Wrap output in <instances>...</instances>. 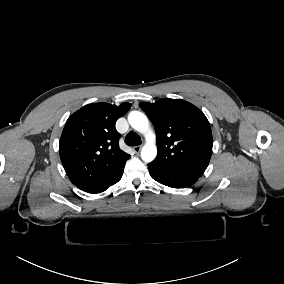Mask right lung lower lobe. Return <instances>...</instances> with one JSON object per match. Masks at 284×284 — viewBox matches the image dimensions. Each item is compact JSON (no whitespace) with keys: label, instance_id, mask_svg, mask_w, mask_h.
<instances>
[{"label":"right lung lower lobe","instance_id":"obj_1","mask_svg":"<svg viewBox=\"0 0 284 284\" xmlns=\"http://www.w3.org/2000/svg\"><path fill=\"white\" fill-rule=\"evenodd\" d=\"M123 171L124 167L119 172H117L110 180H108L105 184L101 185L91 193H100L107 190L110 186L114 185L121 179Z\"/></svg>","mask_w":284,"mask_h":284}]
</instances>
